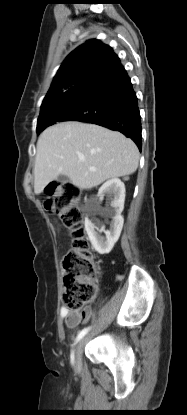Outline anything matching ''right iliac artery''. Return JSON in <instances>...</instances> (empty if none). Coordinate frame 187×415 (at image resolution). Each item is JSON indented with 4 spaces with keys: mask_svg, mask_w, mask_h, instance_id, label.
<instances>
[{
    "mask_svg": "<svg viewBox=\"0 0 187 415\" xmlns=\"http://www.w3.org/2000/svg\"><path fill=\"white\" fill-rule=\"evenodd\" d=\"M89 330H90V327H87V328L82 329L79 332V334H78V336L76 338V342L75 343H77L78 341H80L88 333ZM72 361H73V355H72Z\"/></svg>",
    "mask_w": 187,
    "mask_h": 415,
    "instance_id": "right-iliac-artery-1",
    "label": "right iliac artery"
}]
</instances>
